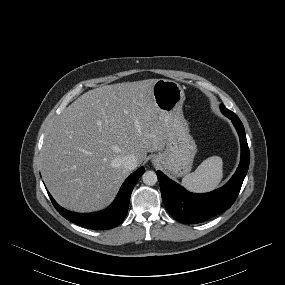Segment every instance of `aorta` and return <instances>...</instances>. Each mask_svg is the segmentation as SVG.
I'll list each match as a JSON object with an SVG mask.
<instances>
[{
	"label": "aorta",
	"instance_id": "aorta-1",
	"mask_svg": "<svg viewBox=\"0 0 285 285\" xmlns=\"http://www.w3.org/2000/svg\"><path fill=\"white\" fill-rule=\"evenodd\" d=\"M143 182L148 186H153L157 183V175L154 171H146L142 175Z\"/></svg>",
	"mask_w": 285,
	"mask_h": 285
}]
</instances>
